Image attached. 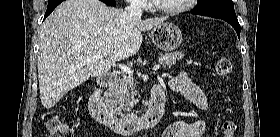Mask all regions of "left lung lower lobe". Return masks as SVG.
Segmentation results:
<instances>
[{"label": "left lung lower lobe", "instance_id": "left-lung-lower-lobe-1", "mask_svg": "<svg viewBox=\"0 0 280 137\" xmlns=\"http://www.w3.org/2000/svg\"><path fill=\"white\" fill-rule=\"evenodd\" d=\"M191 13L197 14V15H204V16L219 18V19H222V20L228 22L235 29L238 37L240 38V25L238 23L236 16L221 14V13H202V12H196V11H192Z\"/></svg>", "mask_w": 280, "mask_h": 137}]
</instances>
